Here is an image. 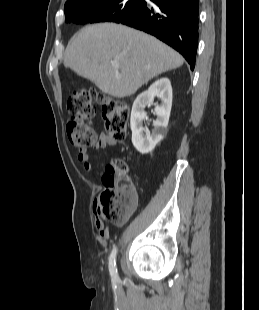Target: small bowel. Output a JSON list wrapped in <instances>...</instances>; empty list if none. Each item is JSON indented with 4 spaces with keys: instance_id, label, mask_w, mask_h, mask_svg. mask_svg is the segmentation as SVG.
<instances>
[{
    "instance_id": "obj_1",
    "label": "small bowel",
    "mask_w": 259,
    "mask_h": 310,
    "mask_svg": "<svg viewBox=\"0 0 259 310\" xmlns=\"http://www.w3.org/2000/svg\"><path fill=\"white\" fill-rule=\"evenodd\" d=\"M117 144V140L110 137L107 134H101L99 137V142L95 146V149H102L108 146H115ZM78 160L82 163L84 170L91 175L92 178H94V171L92 163L89 160V153L87 149H81L79 150L77 154ZM95 227L97 231L100 233L102 237H107L109 235V228L104 225L103 222L100 220H97L95 222Z\"/></svg>"
}]
</instances>
